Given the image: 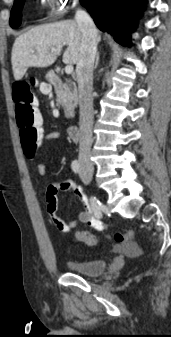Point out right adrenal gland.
I'll return each instance as SVG.
<instances>
[{"mask_svg": "<svg viewBox=\"0 0 171 337\" xmlns=\"http://www.w3.org/2000/svg\"><path fill=\"white\" fill-rule=\"evenodd\" d=\"M98 63H99V53H97L96 62H95V68H97Z\"/></svg>", "mask_w": 171, "mask_h": 337, "instance_id": "2a0ac1e0", "label": "right adrenal gland"}]
</instances>
